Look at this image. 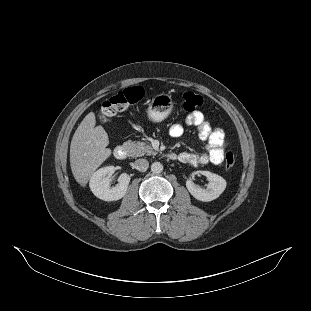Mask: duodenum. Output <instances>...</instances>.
Instances as JSON below:
<instances>
[{"label":"duodenum","instance_id":"duodenum-1","mask_svg":"<svg viewBox=\"0 0 311 311\" xmlns=\"http://www.w3.org/2000/svg\"><path fill=\"white\" fill-rule=\"evenodd\" d=\"M113 154L116 159H125L127 156V149L122 145H118L114 148ZM167 157L171 160H175L177 156L175 153H169Z\"/></svg>","mask_w":311,"mask_h":311}]
</instances>
